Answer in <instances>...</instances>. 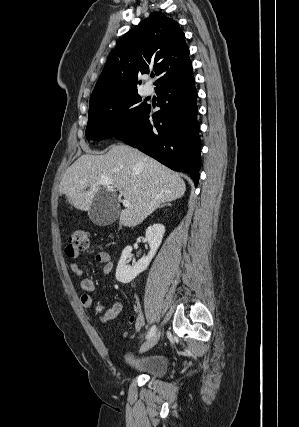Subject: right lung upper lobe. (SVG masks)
Segmentation results:
<instances>
[{"label":"right lung upper lobe","instance_id":"obj_1","mask_svg":"<svg viewBox=\"0 0 299 427\" xmlns=\"http://www.w3.org/2000/svg\"><path fill=\"white\" fill-rule=\"evenodd\" d=\"M153 70L155 85L192 71L185 35L177 22L159 12L151 13L118 42L95 85L90 104L137 91L138 76Z\"/></svg>","mask_w":299,"mask_h":427}]
</instances>
